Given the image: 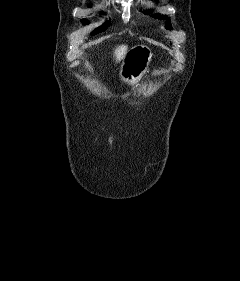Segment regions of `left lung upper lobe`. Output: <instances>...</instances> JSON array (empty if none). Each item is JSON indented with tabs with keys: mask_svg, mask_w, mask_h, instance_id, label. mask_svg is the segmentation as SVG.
I'll return each mask as SVG.
<instances>
[{
	"mask_svg": "<svg viewBox=\"0 0 240 281\" xmlns=\"http://www.w3.org/2000/svg\"><path fill=\"white\" fill-rule=\"evenodd\" d=\"M147 13V12H146ZM156 18H160V19H167V22H166V28L167 29H171L172 27H171V22H170V19L167 17V16H160V15H156L155 16Z\"/></svg>",
	"mask_w": 240,
	"mask_h": 281,
	"instance_id": "1",
	"label": "left lung upper lobe"
}]
</instances>
